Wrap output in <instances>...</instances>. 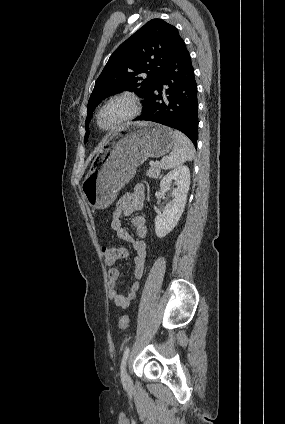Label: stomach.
Here are the masks:
<instances>
[{
  "mask_svg": "<svg viewBox=\"0 0 285 424\" xmlns=\"http://www.w3.org/2000/svg\"><path fill=\"white\" fill-rule=\"evenodd\" d=\"M173 146V131L168 127L150 122L125 125L105 143L92 162L81 185L84 198L93 208H107L117 192L134 177L139 165L149 157L165 155Z\"/></svg>",
  "mask_w": 285,
  "mask_h": 424,
  "instance_id": "0dacf381",
  "label": "stomach"
}]
</instances>
